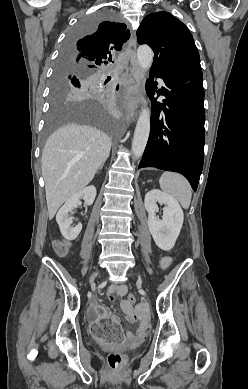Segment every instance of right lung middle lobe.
<instances>
[{
    "label": "right lung middle lobe",
    "instance_id": "obj_1",
    "mask_svg": "<svg viewBox=\"0 0 248 389\" xmlns=\"http://www.w3.org/2000/svg\"><path fill=\"white\" fill-rule=\"evenodd\" d=\"M110 14L106 10L97 11L94 14L83 17L75 29L71 31L68 39L63 47V53H66L71 44L85 34L93 32L100 22L109 19ZM76 73L80 78V82L76 77L72 78V84L76 87L87 86L91 80L93 71L85 70L80 67L67 66L63 64V56L58 61L56 78L54 83V91L51 100V108L48 117V126L45 132V137L58 126L67 123H90L103 128L105 131L113 135L111 119L94 103L66 101V90L68 87L64 85L65 77L68 74ZM71 78V76H69Z\"/></svg>",
    "mask_w": 248,
    "mask_h": 389
}]
</instances>
